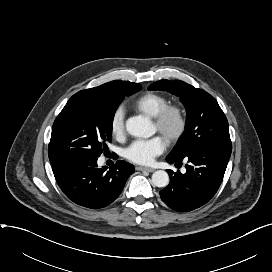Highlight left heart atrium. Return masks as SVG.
<instances>
[{"mask_svg": "<svg viewBox=\"0 0 272 272\" xmlns=\"http://www.w3.org/2000/svg\"><path fill=\"white\" fill-rule=\"evenodd\" d=\"M166 147V142L161 136L146 140H135L125 150L124 156L135 164L147 165L155 157L161 155Z\"/></svg>", "mask_w": 272, "mask_h": 272, "instance_id": "obj_1", "label": "left heart atrium"}]
</instances>
